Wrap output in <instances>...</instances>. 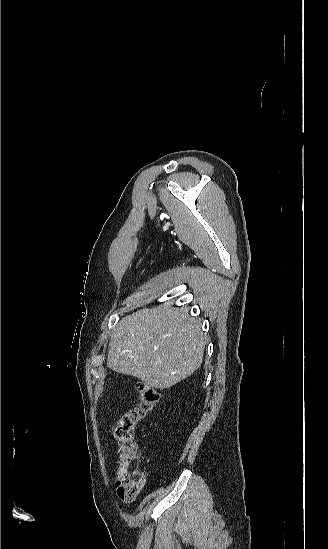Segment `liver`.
<instances>
[{"label":"liver","instance_id":"liver-1","mask_svg":"<svg viewBox=\"0 0 328 549\" xmlns=\"http://www.w3.org/2000/svg\"><path fill=\"white\" fill-rule=\"evenodd\" d=\"M206 335L187 309L164 303L121 319L111 335L107 367L169 389L190 377L203 361Z\"/></svg>","mask_w":328,"mask_h":549}]
</instances>
